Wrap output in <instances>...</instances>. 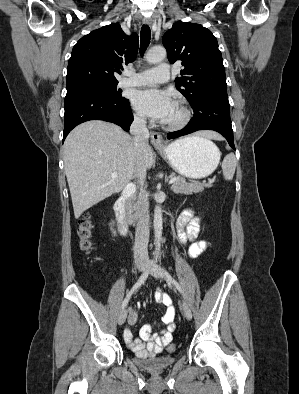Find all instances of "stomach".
Here are the masks:
<instances>
[{
  "label": "stomach",
  "mask_w": 299,
  "mask_h": 394,
  "mask_svg": "<svg viewBox=\"0 0 299 394\" xmlns=\"http://www.w3.org/2000/svg\"><path fill=\"white\" fill-rule=\"evenodd\" d=\"M158 151L176 172L192 179L210 175L221 155L213 142L201 137L179 139Z\"/></svg>",
  "instance_id": "stomach-1"
}]
</instances>
